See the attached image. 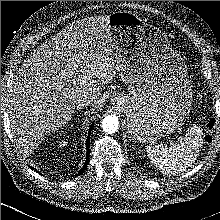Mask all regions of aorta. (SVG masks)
<instances>
[{
  "label": "aorta",
  "instance_id": "1",
  "mask_svg": "<svg viewBox=\"0 0 220 220\" xmlns=\"http://www.w3.org/2000/svg\"><path fill=\"white\" fill-rule=\"evenodd\" d=\"M102 128L104 132L112 134L119 128V121L116 115H108L102 120Z\"/></svg>",
  "mask_w": 220,
  "mask_h": 220
}]
</instances>
